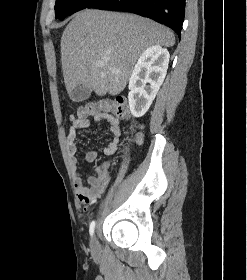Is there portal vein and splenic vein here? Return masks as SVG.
<instances>
[{"label":"portal vein and splenic vein","instance_id":"1","mask_svg":"<svg viewBox=\"0 0 247 280\" xmlns=\"http://www.w3.org/2000/svg\"><path fill=\"white\" fill-rule=\"evenodd\" d=\"M97 65H98V66H102V65H104V62H103V61H100V62L97 63Z\"/></svg>","mask_w":247,"mask_h":280}]
</instances>
